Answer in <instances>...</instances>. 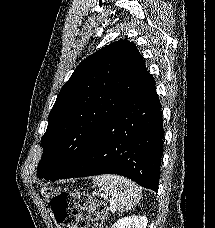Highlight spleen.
<instances>
[{"instance_id": "1", "label": "spleen", "mask_w": 215, "mask_h": 228, "mask_svg": "<svg viewBox=\"0 0 215 228\" xmlns=\"http://www.w3.org/2000/svg\"><path fill=\"white\" fill-rule=\"evenodd\" d=\"M94 184L104 190L106 196H112L114 206L119 212L131 210L142 198V192L128 178L115 176V174H103V176H92Z\"/></svg>"}]
</instances>
